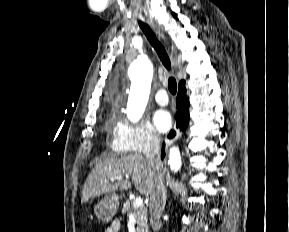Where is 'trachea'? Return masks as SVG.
<instances>
[{"label":"trachea","mask_w":289,"mask_h":232,"mask_svg":"<svg viewBox=\"0 0 289 232\" xmlns=\"http://www.w3.org/2000/svg\"><path fill=\"white\" fill-rule=\"evenodd\" d=\"M140 28L142 29V31L146 35V37L149 40L150 44L156 50L161 62L165 66V68L167 70H170V68H171L170 59H169L168 54H167L165 48L163 47V45L158 41V39L156 38L155 34L152 32V30L150 29V27L148 25L140 24ZM168 88H169V91H170L171 94H173V95L176 94L177 83H176L175 78L170 77L168 79Z\"/></svg>","instance_id":"obj_1"}]
</instances>
